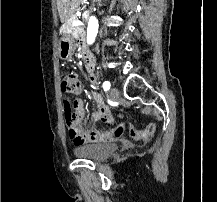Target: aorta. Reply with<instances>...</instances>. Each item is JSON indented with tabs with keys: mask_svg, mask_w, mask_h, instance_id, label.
<instances>
[{
	"mask_svg": "<svg viewBox=\"0 0 217 202\" xmlns=\"http://www.w3.org/2000/svg\"><path fill=\"white\" fill-rule=\"evenodd\" d=\"M98 20L95 18V16H90L88 20V26H87V44L88 46H92L95 42V38L98 34Z\"/></svg>",
	"mask_w": 217,
	"mask_h": 202,
	"instance_id": "762f6f07",
	"label": "aorta"
}]
</instances>
